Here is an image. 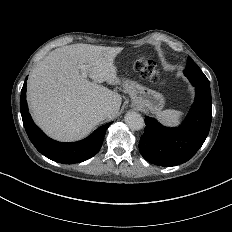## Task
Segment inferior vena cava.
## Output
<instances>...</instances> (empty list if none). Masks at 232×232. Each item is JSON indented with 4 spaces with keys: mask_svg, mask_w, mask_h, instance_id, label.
<instances>
[{
    "mask_svg": "<svg viewBox=\"0 0 232 232\" xmlns=\"http://www.w3.org/2000/svg\"><path fill=\"white\" fill-rule=\"evenodd\" d=\"M99 113L102 115V116H106L107 114L110 113V108L109 106H104L102 107L100 110H99Z\"/></svg>",
    "mask_w": 232,
    "mask_h": 232,
    "instance_id": "602c4592",
    "label": "inferior vena cava"
}]
</instances>
